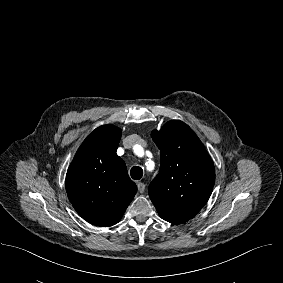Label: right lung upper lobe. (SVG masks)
I'll return each instance as SVG.
<instances>
[{
	"label": "right lung upper lobe",
	"mask_w": 283,
	"mask_h": 283,
	"mask_svg": "<svg viewBox=\"0 0 283 283\" xmlns=\"http://www.w3.org/2000/svg\"><path fill=\"white\" fill-rule=\"evenodd\" d=\"M121 129L108 124L90 133L71 162L66 191L77 213L87 222L109 227L123 216L137 187L116 154Z\"/></svg>",
	"instance_id": "1"
}]
</instances>
